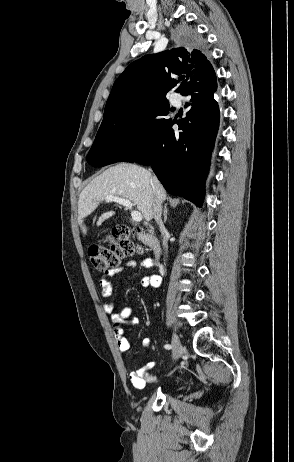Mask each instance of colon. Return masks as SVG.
I'll return each instance as SVG.
<instances>
[{"label":"colon","mask_w":294,"mask_h":462,"mask_svg":"<svg viewBox=\"0 0 294 462\" xmlns=\"http://www.w3.org/2000/svg\"><path fill=\"white\" fill-rule=\"evenodd\" d=\"M105 241L108 246L94 244L89 249L90 261L99 271H110L122 258L140 251V248L130 239L129 229L123 226L114 228Z\"/></svg>","instance_id":"5ec220e1"}]
</instances>
